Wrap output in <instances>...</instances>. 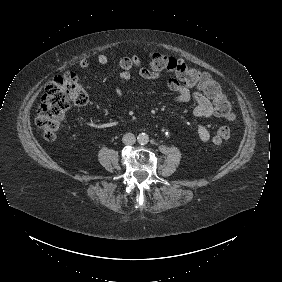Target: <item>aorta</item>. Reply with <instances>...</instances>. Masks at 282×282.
Segmentation results:
<instances>
[{
  "label": "aorta",
  "mask_w": 282,
  "mask_h": 282,
  "mask_svg": "<svg viewBox=\"0 0 282 282\" xmlns=\"http://www.w3.org/2000/svg\"><path fill=\"white\" fill-rule=\"evenodd\" d=\"M137 142L140 145L148 144V142H149V135L147 133H145V132L139 133L138 136H137Z\"/></svg>",
  "instance_id": "762f6f07"
}]
</instances>
